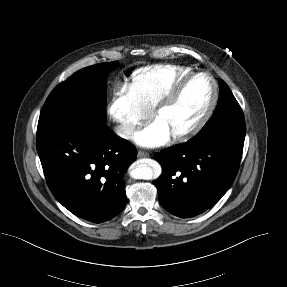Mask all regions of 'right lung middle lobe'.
<instances>
[{
    "mask_svg": "<svg viewBox=\"0 0 287 287\" xmlns=\"http://www.w3.org/2000/svg\"><path fill=\"white\" fill-rule=\"evenodd\" d=\"M118 65V61H113L89 66L60 83L43 105L37 133L71 124L105 123L107 91L104 77Z\"/></svg>",
    "mask_w": 287,
    "mask_h": 287,
    "instance_id": "obj_1",
    "label": "right lung middle lobe"
}]
</instances>
